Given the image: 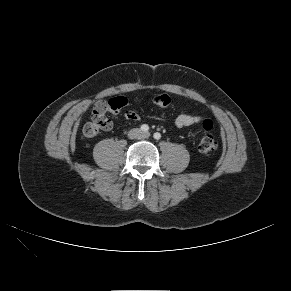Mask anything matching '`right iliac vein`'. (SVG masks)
I'll return each mask as SVG.
<instances>
[{
    "label": "right iliac vein",
    "mask_w": 291,
    "mask_h": 291,
    "mask_svg": "<svg viewBox=\"0 0 291 291\" xmlns=\"http://www.w3.org/2000/svg\"><path fill=\"white\" fill-rule=\"evenodd\" d=\"M140 136H141L140 130L137 129V128L131 129V130L128 132V137H129L130 139L139 138Z\"/></svg>",
    "instance_id": "right-iliac-vein-1"
}]
</instances>
